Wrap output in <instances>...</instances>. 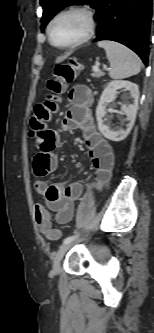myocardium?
<instances>
[{
    "label": "myocardium",
    "mask_w": 154,
    "mask_h": 333,
    "mask_svg": "<svg viewBox=\"0 0 154 333\" xmlns=\"http://www.w3.org/2000/svg\"><path fill=\"white\" fill-rule=\"evenodd\" d=\"M67 14L82 15L86 22V28H85L84 34L80 38L76 39L75 41H73L69 44L60 45V44L55 43V41L53 39V25L59 18H61L64 15H67ZM96 26H97L96 17H95V13L92 9H90L87 6H83V5L70 6L68 8H65V9L59 11L57 14H55L54 17L49 22V25H48L49 40L53 46H55L59 49H72V48H75V47L82 45L83 43L89 41L95 34Z\"/></svg>",
    "instance_id": "obj_1"
}]
</instances>
